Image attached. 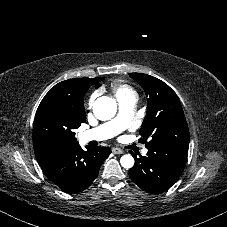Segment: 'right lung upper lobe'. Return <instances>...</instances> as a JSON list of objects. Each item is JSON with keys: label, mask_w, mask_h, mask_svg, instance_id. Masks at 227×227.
<instances>
[{"label": "right lung upper lobe", "mask_w": 227, "mask_h": 227, "mask_svg": "<svg viewBox=\"0 0 227 227\" xmlns=\"http://www.w3.org/2000/svg\"><path fill=\"white\" fill-rule=\"evenodd\" d=\"M99 82L96 78H74L62 81L52 87L41 101L37 113L45 108H67L80 117L86 118L83 106V95L88 88ZM52 154L37 156L41 161Z\"/></svg>", "instance_id": "cb5924a9"}]
</instances>
